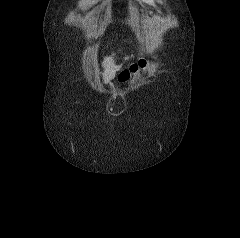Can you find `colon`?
<instances>
[{
    "mask_svg": "<svg viewBox=\"0 0 240 238\" xmlns=\"http://www.w3.org/2000/svg\"><path fill=\"white\" fill-rule=\"evenodd\" d=\"M146 64V60H140L139 62L132 64L130 67L120 73L118 77L119 81L122 83L129 81L132 77L142 71Z\"/></svg>",
    "mask_w": 240,
    "mask_h": 238,
    "instance_id": "1",
    "label": "colon"
}]
</instances>
